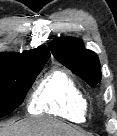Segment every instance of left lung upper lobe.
I'll list each match as a JSON object with an SVG mask.
<instances>
[{"label":"left lung upper lobe","instance_id":"1","mask_svg":"<svg viewBox=\"0 0 117 136\" xmlns=\"http://www.w3.org/2000/svg\"><path fill=\"white\" fill-rule=\"evenodd\" d=\"M54 57L76 75L80 76L90 86H95L101 80L98 56L85 49L82 40L72 37L54 39L49 44Z\"/></svg>","mask_w":117,"mask_h":136}]
</instances>
